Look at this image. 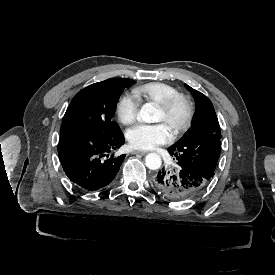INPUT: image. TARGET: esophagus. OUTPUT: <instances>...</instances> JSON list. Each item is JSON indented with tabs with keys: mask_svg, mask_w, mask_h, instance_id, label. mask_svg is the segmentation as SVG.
I'll use <instances>...</instances> for the list:
<instances>
[{
	"mask_svg": "<svg viewBox=\"0 0 275 275\" xmlns=\"http://www.w3.org/2000/svg\"><path fill=\"white\" fill-rule=\"evenodd\" d=\"M146 153H147V151H141V150H134V151H132V154H141V155H144Z\"/></svg>",
	"mask_w": 275,
	"mask_h": 275,
	"instance_id": "esophagus-1",
	"label": "esophagus"
}]
</instances>
